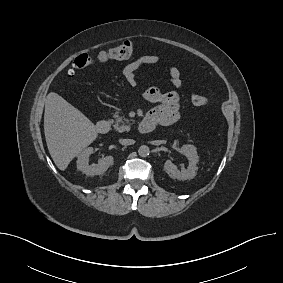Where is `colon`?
I'll use <instances>...</instances> for the list:
<instances>
[{
	"instance_id": "obj_1",
	"label": "colon",
	"mask_w": 283,
	"mask_h": 283,
	"mask_svg": "<svg viewBox=\"0 0 283 283\" xmlns=\"http://www.w3.org/2000/svg\"><path fill=\"white\" fill-rule=\"evenodd\" d=\"M135 49V44L131 41H124L121 44L115 45L107 50L101 51L96 57H91L88 54L77 56L68 69V74L72 75L75 71L83 70L97 63H106L109 61H120L129 58ZM191 102L195 106H206L210 100L199 94L191 95Z\"/></svg>"
}]
</instances>
